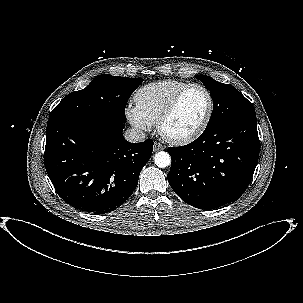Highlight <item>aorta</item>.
Returning <instances> with one entry per match:
<instances>
[{"mask_svg":"<svg viewBox=\"0 0 303 303\" xmlns=\"http://www.w3.org/2000/svg\"><path fill=\"white\" fill-rule=\"evenodd\" d=\"M154 163L159 168H165L171 164V157L167 152H158L154 156Z\"/></svg>","mask_w":303,"mask_h":303,"instance_id":"aorta-1","label":"aorta"}]
</instances>
